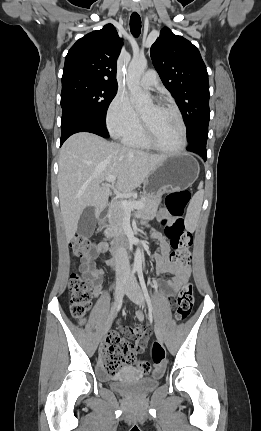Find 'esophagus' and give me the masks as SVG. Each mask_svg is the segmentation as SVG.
I'll return each mask as SVG.
<instances>
[{
	"mask_svg": "<svg viewBox=\"0 0 261 431\" xmlns=\"http://www.w3.org/2000/svg\"><path fill=\"white\" fill-rule=\"evenodd\" d=\"M132 9H133L134 11H136V12H140V7H139V5H138V4H133V5H132Z\"/></svg>",
	"mask_w": 261,
	"mask_h": 431,
	"instance_id": "esophagus-1",
	"label": "esophagus"
}]
</instances>
